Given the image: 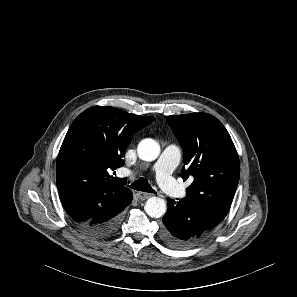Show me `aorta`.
<instances>
[{
  "mask_svg": "<svg viewBox=\"0 0 297 297\" xmlns=\"http://www.w3.org/2000/svg\"><path fill=\"white\" fill-rule=\"evenodd\" d=\"M137 152L140 159L153 161L159 156L160 147L155 140L144 139L138 144ZM144 209L148 216L160 218L166 213L167 206L164 199L154 196L146 201Z\"/></svg>",
  "mask_w": 297,
  "mask_h": 297,
  "instance_id": "obj_1",
  "label": "aorta"
}]
</instances>
